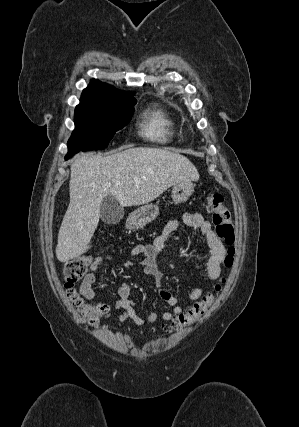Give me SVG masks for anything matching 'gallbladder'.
Returning <instances> with one entry per match:
<instances>
[{"label":"gallbladder","instance_id":"obj_1","mask_svg":"<svg viewBox=\"0 0 299 427\" xmlns=\"http://www.w3.org/2000/svg\"><path fill=\"white\" fill-rule=\"evenodd\" d=\"M124 216V209L116 198L112 195H107L103 198L100 204V218L106 224H117Z\"/></svg>","mask_w":299,"mask_h":427}]
</instances>
